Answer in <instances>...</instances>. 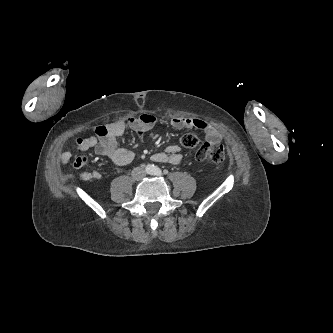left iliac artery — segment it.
<instances>
[{"label":"left iliac artery","instance_id":"obj_1","mask_svg":"<svg viewBox=\"0 0 333 333\" xmlns=\"http://www.w3.org/2000/svg\"><path fill=\"white\" fill-rule=\"evenodd\" d=\"M153 174L156 175V176H161L162 171L158 167H154Z\"/></svg>","mask_w":333,"mask_h":333}]
</instances>
